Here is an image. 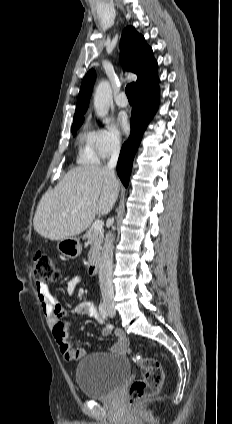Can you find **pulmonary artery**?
Returning a JSON list of instances; mask_svg holds the SVG:
<instances>
[{
  "instance_id": "1",
  "label": "pulmonary artery",
  "mask_w": 232,
  "mask_h": 424,
  "mask_svg": "<svg viewBox=\"0 0 232 424\" xmlns=\"http://www.w3.org/2000/svg\"><path fill=\"white\" fill-rule=\"evenodd\" d=\"M116 104L121 107L125 108L128 106V99L126 97V94L124 92H121L117 98H116Z\"/></svg>"
}]
</instances>
